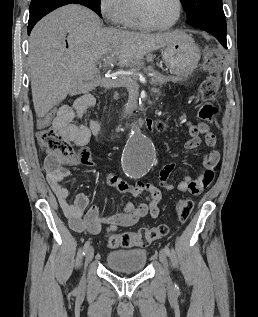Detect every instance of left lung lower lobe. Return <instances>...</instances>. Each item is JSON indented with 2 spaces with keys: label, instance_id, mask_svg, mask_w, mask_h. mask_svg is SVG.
<instances>
[{
  "label": "left lung lower lobe",
  "instance_id": "1",
  "mask_svg": "<svg viewBox=\"0 0 258 317\" xmlns=\"http://www.w3.org/2000/svg\"><path fill=\"white\" fill-rule=\"evenodd\" d=\"M204 31H207L208 33L214 35L219 42L227 48V42H226V28L225 29H219V28H199Z\"/></svg>",
  "mask_w": 258,
  "mask_h": 317
}]
</instances>
